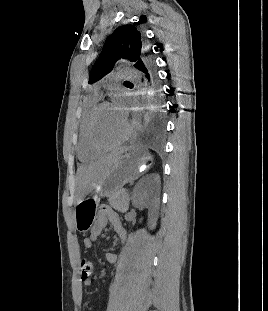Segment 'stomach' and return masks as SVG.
Segmentation results:
<instances>
[{
    "instance_id": "stomach-1",
    "label": "stomach",
    "mask_w": 268,
    "mask_h": 311,
    "mask_svg": "<svg viewBox=\"0 0 268 311\" xmlns=\"http://www.w3.org/2000/svg\"><path fill=\"white\" fill-rule=\"evenodd\" d=\"M146 155L139 148L130 147L118 157L108 175L97 185L90 196L82 199L75 207L76 230L83 233L90 230L101 197L110 196L121 190L125 184L139 178L140 168L148 160Z\"/></svg>"
}]
</instances>
